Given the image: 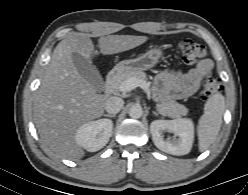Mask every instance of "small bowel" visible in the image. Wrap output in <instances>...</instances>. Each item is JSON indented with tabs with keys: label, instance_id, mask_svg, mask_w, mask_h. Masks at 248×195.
I'll list each match as a JSON object with an SVG mask.
<instances>
[{
	"label": "small bowel",
	"instance_id": "1",
	"mask_svg": "<svg viewBox=\"0 0 248 195\" xmlns=\"http://www.w3.org/2000/svg\"><path fill=\"white\" fill-rule=\"evenodd\" d=\"M212 62L200 61L187 72L181 69H166L156 79V91L161 100H180L193 95L201 83L211 74Z\"/></svg>",
	"mask_w": 248,
	"mask_h": 195
}]
</instances>
